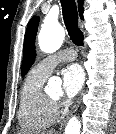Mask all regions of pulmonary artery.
<instances>
[{
    "instance_id": "pulmonary-artery-1",
    "label": "pulmonary artery",
    "mask_w": 116,
    "mask_h": 134,
    "mask_svg": "<svg viewBox=\"0 0 116 134\" xmlns=\"http://www.w3.org/2000/svg\"><path fill=\"white\" fill-rule=\"evenodd\" d=\"M77 58V54L75 50L71 48L63 49L56 54L50 55L42 60H40L36 64V68L41 73L49 75L53 68L59 63L63 61H74Z\"/></svg>"
}]
</instances>
